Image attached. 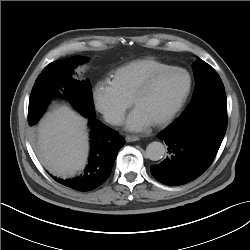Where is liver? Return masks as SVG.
Returning a JSON list of instances; mask_svg holds the SVG:
<instances>
[{
  "label": "liver",
  "mask_w": 250,
  "mask_h": 250,
  "mask_svg": "<svg viewBox=\"0 0 250 250\" xmlns=\"http://www.w3.org/2000/svg\"><path fill=\"white\" fill-rule=\"evenodd\" d=\"M87 120L67 106L47 113L38 126L37 153L54 175L67 177L85 166Z\"/></svg>",
  "instance_id": "liver-1"
}]
</instances>
